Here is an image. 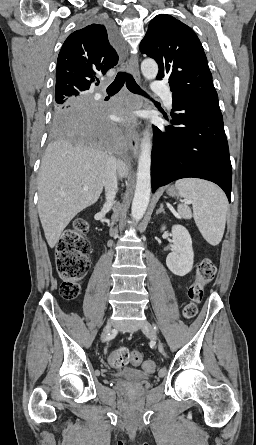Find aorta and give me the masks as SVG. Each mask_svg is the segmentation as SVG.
<instances>
[{
	"label": "aorta",
	"instance_id": "762f6f07",
	"mask_svg": "<svg viewBox=\"0 0 256 445\" xmlns=\"http://www.w3.org/2000/svg\"><path fill=\"white\" fill-rule=\"evenodd\" d=\"M141 72L147 80L155 79L158 74V65L153 59H145L141 63ZM151 150V135L149 129H146L140 144L136 187L131 210L132 217L136 221L144 216L150 200Z\"/></svg>",
	"mask_w": 256,
	"mask_h": 445
}]
</instances>
